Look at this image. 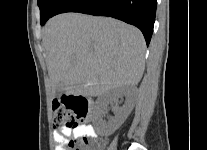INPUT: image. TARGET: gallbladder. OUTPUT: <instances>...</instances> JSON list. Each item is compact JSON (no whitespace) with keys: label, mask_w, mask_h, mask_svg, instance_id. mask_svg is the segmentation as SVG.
Instances as JSON below:
<instances>
[{"label":"gallbladder","mask_w":207,"mask_h":150,"mask_svg":"<svg viewBox=\"0 0 207 150\" xmlns=\"http://www.w3.org/2000/svg\"><path fill=\"white\" fill-rule=\"evenodd\" d=\"M64 92V87L62 85L57 86L56 95L60 96Z\"/></svg>","instance_id":"1"}]
</instances>
